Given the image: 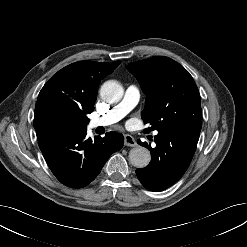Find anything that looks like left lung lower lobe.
Returning <instances> with one entry per match:
<instances>
[{
	"label": "left lung lower lobe",
	"instance_id": "obj_1",
	"mask_svg": "<svg viewBox=\"0 0 247 247\" xmlns=\"http://www.w3.org/2000/svg\"><path fill=\"white\" fill-rule=\"evenodd\" d=\"M200 131L174 124L154 137L155 148L146 142L138 143L151 151L148 166L137 169L136 174L148 190L159 192L177 182L187 170L199 140Z\"/></svg>",
	"mask_w": 247,
	"mask_h": 247
}]
</instances>
